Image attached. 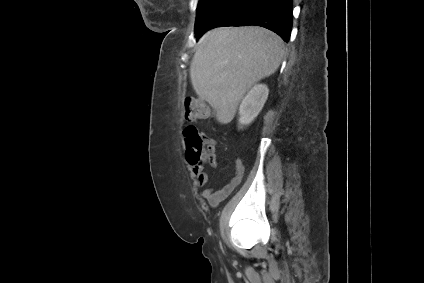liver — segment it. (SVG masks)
<instances>
[{
    "label": "liver",
    "mask_w": 424,
    "mask_h": 283,
    "mask_svg": "<svg viewBox=\"0 0 424 283\" xmlns=\"http://www.w3.org/2000/svg\"><path fill=\"white\" fill-rule=\"evenodd\" d=\"M283 47L279 35L259 26L210 30L198 41L191 61L193 89L215 110L217 121L227 124L243 95L275 73Z\"/></svg>",
    "instance_id": "obj_1"
}]
</instances>
